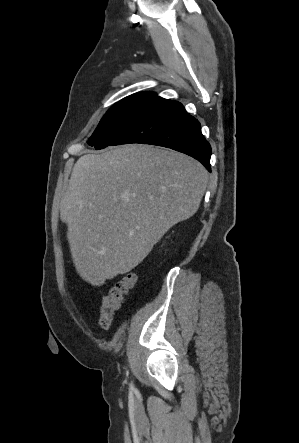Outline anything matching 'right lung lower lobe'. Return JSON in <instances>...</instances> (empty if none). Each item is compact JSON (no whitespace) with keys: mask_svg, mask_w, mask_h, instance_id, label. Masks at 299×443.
<instances>
[{"mask_svg":"<svg viewBox=\"0 0 299 443\" xmlns=\"http://www.w3.org/2000/svg\"><path fill=\"white\" fill-rule=\"evenodd\" d=\"M130 143L171 148L194 157L211 171V146L200 123L177 101L158 97L110 145Z\"/></svg>","mask_w":299,"mask_h":443,"instance_id":"1","label":"right lung lower lobe"}]
</instances>
